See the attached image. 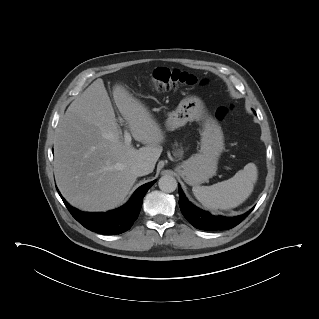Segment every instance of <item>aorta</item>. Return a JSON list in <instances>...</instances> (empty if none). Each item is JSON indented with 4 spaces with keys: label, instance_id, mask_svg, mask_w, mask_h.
Segmentation results:
<instances>
[{
    "label": "aorta",
    "instance_id": "762f6f07",
    "mask_svg": "<svg viewBox=\"0 0 319 319\" xmlns=\"http://www.w3.org/2000/svg\"><path fill=\"white\" fill-rule=\"evenodd\" d=\"M158 186L160 190L171 193L177 188V181L173 176L164 175L159 179Z\"/></svg>",
    "mask_w": 319,
    "mask_h": 319
}]
</instances>
